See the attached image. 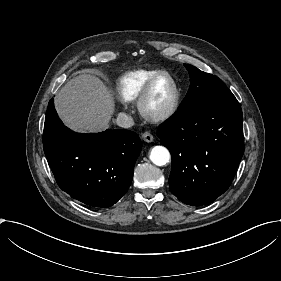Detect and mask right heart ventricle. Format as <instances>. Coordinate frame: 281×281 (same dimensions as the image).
Wrapping results in <instances>:
<instances>
[{
	"label": "right heart ventricle",
	"mask_w": 281,
	"mask_h": 281,
	"mask_svg": "<svg viewBox=\"0 0 281 281\" xmlns=\"http://www.w3.org/2000/svg\"><path fill=\"white\" fill-rule=\"evenodd\" d=\"M165 72L163 70H137L122 75L116 81L117 97L122 102L138 100L148 82Z\"/></svg>",
	"instance_id": "right-heart-ventricle-1"
}]
</instances>
